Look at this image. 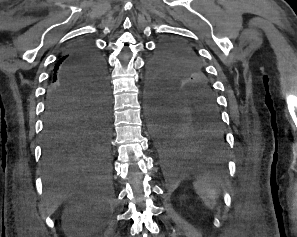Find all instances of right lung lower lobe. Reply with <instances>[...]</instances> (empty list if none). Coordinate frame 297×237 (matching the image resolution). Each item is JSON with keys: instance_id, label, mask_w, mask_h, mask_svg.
Masks as SVG:
<instances>
[{"instance_id": "98d812e1", "label": "right lung lower lobe", "mask_w": 297, "mask_h": 237, "mask_svg": "<svg viewBox=\"0 0 297 237\" xmlns=\"http://www.w3.org/2000/svg\"><path fill=\"white\" fill-rule=\"evenodd\" d=\"M47 89L43 165L48 175L110 171V97L104 62L87 41L71 47Z\"/></svg>"}]
</instances>
